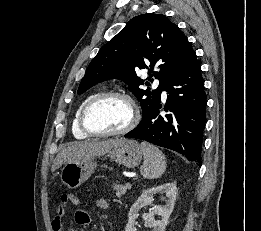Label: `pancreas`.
I'll return each instance as SVG.
<instances>
[{
	"instance_id": "1",
	"label": "pancreas",
	"mask_w": 261,
	"mask_h": 231,
	"mask_svg": "<svg viewBox=\"0 0 261 231\" xmlns=\"http://www.w3.org/2000/svg\"><path fill=\"white\" fill-rule=\"evenodd\" d=\"M113 189L116 191V196L121 197L131 189V185L114 184Z\"/></svg>"
}]
</instances>
